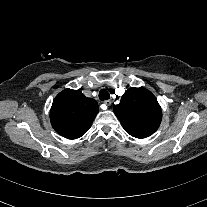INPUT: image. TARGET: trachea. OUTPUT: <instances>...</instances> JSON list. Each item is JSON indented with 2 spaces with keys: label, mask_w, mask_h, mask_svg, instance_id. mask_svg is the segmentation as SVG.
Masks as SVG:
<instances>
[{
  "label": "trachea",
  "mask_w": 207,
  "mask_h": 207,
  "mask_svg": "<svg viewBox=\"0 0 207 207\" xmlns=\"http://www.w3.org/2000/svg\"><path fill=\"white\" fill-rule=\"evenodd\" d=\"M99 99L101 101L110 99V95L106 90H101L99 92Z\"/></svg>",
  "instance_id": "obj_1"
}]
</instances>
